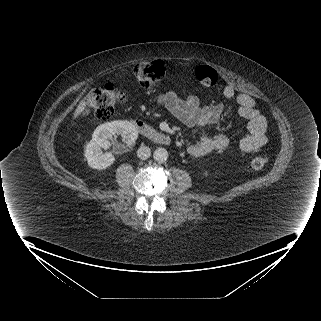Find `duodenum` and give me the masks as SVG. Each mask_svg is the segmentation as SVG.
I'll return each mask as SVG.
<instances>
[{
	"mask_svg": "<svg viewBox=\"0 0 321 321\" xmlns=\"http://www.w3.org/2000/svg\"><path fill=\"white\" fill-rule=\"evenodd\" d=\"M132 123L137 131L149 140L160 145H169L171 143V138L168 134L154 129L145 121L141 119H134Z\"/></svg>",
	"mask_w": 321,
	"mask_h": 321,
	"instance_id": "1",
	"label": "duodenum"
}]
</instances>
